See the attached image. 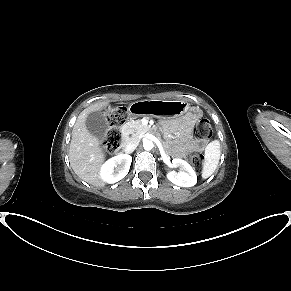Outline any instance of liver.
I'll return each mask as SVG.
<instances>
[{
    "label": "liver",
    "mask_w": 291,
    "mask_h": 291,
    "mask_svg": "<svg viewBox=\"0 0 291 291\" xmlns=\"http://www.w3.org/2000/svg\"><path fill=\"white\" fill-rule=\"evenodd\" d=\"M108 102H100L83 110L73 127L69 147V160L75 174L85 182L94 186H103L99 176V169L104 161V152L100 141L91 135L86 128V118L89 113L101 110Z\"/></svg>",
    "instance_id": "obj_1"
}]
</instances>
